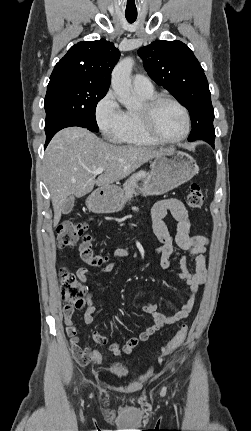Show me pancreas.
Wrapping results in <instances>:
<instances>
[{
  "mask_svg": "<svg viewBox=\"0 0 251 431\" xmlns=\"http://www.w3.org/2000/svg\"><path fill=\"white\" fill-rule=\"evenodd\" d=\"M146 177L145 173L133 175L123 184V200L124 202L132 199L136 193V189L139 188L138 182Z\"/></svg>",
  "mask_w": 251,
  "mask_h": 431,
  "instance_id": "obj_1",
  "label": "pancreas"
}]
</instances>
